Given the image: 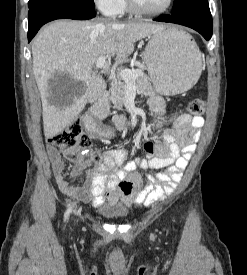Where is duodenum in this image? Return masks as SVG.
<instances>
[{
    "instance_id": "duodenum-1",
    "label": "duodenum",
    "mask_w": 247,
    "mask_h": 275,
    "mask_svg": "<svg viewBox=\"0 0 247 275\" xmlns=\"http://www.w3.org/2000/svg\"><path fill=\"white\" fill-rule=\"evenodd\" d=\"M108 90L103 91L100 95L99 101L97 102L96 108L97 109H105L108 106ZM114 125L118 128H122L125 124L124 119L117 118L114 121ZM89 123H92L91 121Z\"/></svg>"
}]
</instances>
